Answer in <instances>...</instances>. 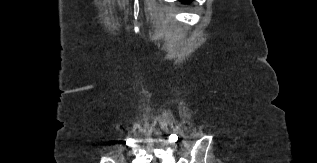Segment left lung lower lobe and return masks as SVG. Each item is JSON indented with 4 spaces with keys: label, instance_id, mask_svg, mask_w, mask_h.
Segmentation results:
<instances>
[{
    "label": "left lung lower lobe",
    "instance_id": "obj_1",
    "mask_svg": "<svg viewBox=\"0 0 317 163\" xmlns=\"http://www.w3.org/2000/svg\"><path fill=\"white\" fill-rule=\"evenodd\" d=\"M180 1H182V2H184V3H188V2H190L191 0H180Z\"/></svg>",
    "mask_w": 317,
    "mask_h": 163
}]
</instances>
